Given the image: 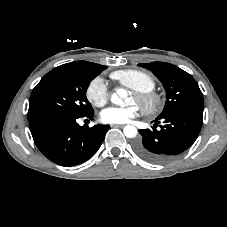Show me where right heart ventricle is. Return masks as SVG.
<instances>
[{
	"label": "right heart ventricle",
	"instance_id": "1",
	"mask_svg": "<svg viewBox=\"0 0 227 227\" xmlns=\"http://www.w3.org/2000/svg\"><path fill=\"white\" fill-rule=\"evenodd\" d=\"M110 77L135 92L152 91L156 85L151 75L136 69L114 71L110 74Z\"/></svg>",
	"mask_w": 227,
	"mask_h": 227
}]
</instances>
